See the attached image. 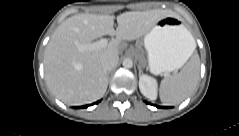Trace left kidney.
Returning <instances> with one entry per match:
<instances>
[{"label": "left kidney", "mask_w": 239, "mask_h": 136, "mask_svg": "<svg viewBox=\"0 0 239 136\" xmlns=\"http://www.w3.org/2000/svg\"><path fill=\"white\" fill-rule=\"evenodd\" d=\"M139 89L148 99L152 101L157 99L158 84L155 78L147 74H142L139 77Z\"/></svg>", "instance_id": "obj_1"}]
</instances>
